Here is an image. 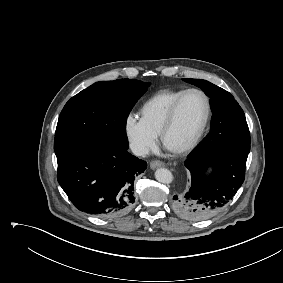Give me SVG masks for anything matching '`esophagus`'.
I'll return each instance as SVG.
<instances>
[{
	"label": "esophagus",
	"mask_w": 283,
	"mask_h": 283,
	"mask_svg": "<svg viewBox=\"0 0 283 283\" xmlns=\"http://www.w3.org/2000/svg\"><path fill=\"white\" fill-rule=\"evenodd\" d=\"M163 166H165L164 162L159 161V160H154L150 163L151 169H156V168L163 167Z\"/></svg>",
	"instance_id": "34e87169"
}]
</instances>
